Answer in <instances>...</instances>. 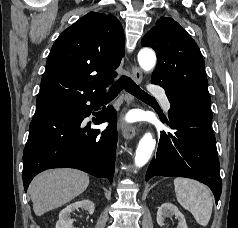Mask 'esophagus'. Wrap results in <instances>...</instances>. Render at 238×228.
Masks as SVG:
<instances>
[{
    "instance_id": "esophagus-1",
    "label": "esophagus",
    "mask_w": 238,
    "mask_h": 228,
    "mask_svg": "<svg viewBox=\"0 0 238 228\" xmlns=\"http://www.w3.org/2000/svg\"><path fill=\"white\" fill-rule=\"evenodd\" d=\"M131 73H132V78L134 79V81L137 82V83H141V81H142V72H141L140 68L137 67L136 65H132ZM126 101H127L128 106L134 104V98L129 94H127V96H126ZM120 130H121L122 135L125 139H131L137 133V129H136L135 126L129 125V124L124 123V122H122L120 124Z\"/></svg>"
}]
</instances>
